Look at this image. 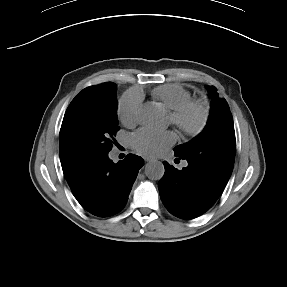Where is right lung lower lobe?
<instances>
[{
	"label": "right lung lower lobe",
	"instance_id": "1",
	"mask_svg": "<svg viewBox=\"0 0 287 287\" xmlns=\"http://www.w3.org/2000/svg\"><path fill=\"white\" fill-rule=\"evenodd\" d=\"M143 164V159L134 154H128L117 164L106 154L81 167L66 180L84 209L96 216L108 217L126 205Z\"/></svg>",
	"mask_w": 287,
	"mask_h": 287
}]
</instances>
